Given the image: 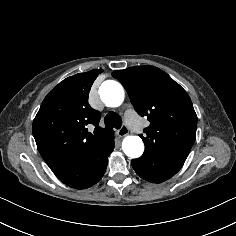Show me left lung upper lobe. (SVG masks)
Segmentation results:
<instances>
[{
  "mask_svg": "<svg viewBox=\"0 0 236 236\" xmlns=\"http://www.w3.org/2000/svg\"><path fill=\"white\" fill-rule=\"evenodd\" d=\"M126 89L135 110L150 125L140 137L145 152L186 159L196 137L197 116L186 91L155 66H135L112 73Z\"/></svg>",
  "mask_w": 236,
  "mask_h": 236,
  "instance_id": "left-lung-upper-lobe-1",
  "label": "left lung upper lobe"
}]
</instances>
